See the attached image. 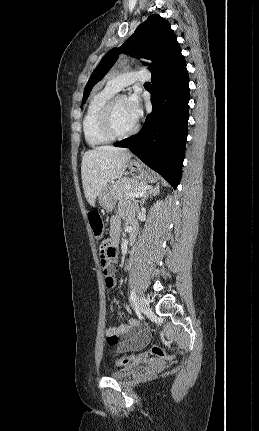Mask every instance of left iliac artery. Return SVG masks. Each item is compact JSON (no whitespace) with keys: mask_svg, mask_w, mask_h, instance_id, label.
<instances>
[{"mask_svg":"<svg viewBox=\"0 0 259 431\" xmlns=\"http://www.w3.org/2000/svg\"><path fill=\"white\" fill-rule=\"evenodd\" d=\"M130 301L134 303L136 301V293L134 290H131Z\"/></svg>","mask_w":259,"mask_h":431,"instance_id":"44dca946","label":"left iliac artery"}]
</instances>
